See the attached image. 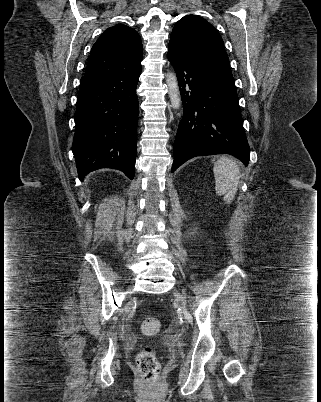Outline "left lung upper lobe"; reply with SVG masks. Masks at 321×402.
I'll use <instances>...</instances> for the list:
<instances>
[{
  "instance_id": "1",
  "label": "left lung upper lobe",
  "mask_w": 321,
  "mask_h": 402,
  "mask_svg": "<svg viewBox=\"0 0 321 402\" xmlns=\"http://www.w3.org/2000/svg\"><path fill=\"white\" fill-rule=\"evenodd\" d=\"M169 49L191 62L230 70L221 36L199 16L187 15L175 24Z\"/></svg>"
}]
</instances>
